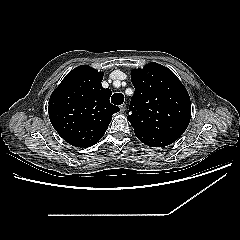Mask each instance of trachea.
Returning <instances> with one entry per match:
<instances>
[{
  "mask_svg": "<svg viewBox=\"0 0 240 240\" xmlns=\"http://www.w3.org/2000/svg\"><path fill=\"white\" fill-rule=\"evenodd\" d=\"M111 102L114 105H121L124 102V95L121 93H115L111 98Z\"/></svg>",
  "mask_w": 240,
  "mask_h": 240,
  "instance_id": "3493384b",
  "label": "trachea"
}]
</instances>
